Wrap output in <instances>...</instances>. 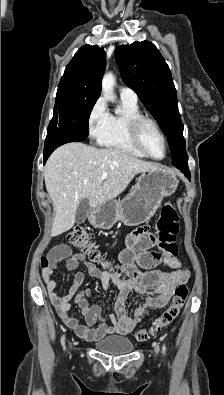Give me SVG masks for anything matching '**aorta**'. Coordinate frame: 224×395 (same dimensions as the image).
Wrapping results in <instances>:
<instances>
[{
    "instance_id": "1",
    "label": "aorta",
    "mask_w": 224,
    "mask_h": 395,
    "mask_svg": "<svg viewBox=\"0 0 224 395\" xmlns=\"http://www.w3.org/2000/svg\"><path fill=\"white\" fill-rule=\"evenodd\" d=\"M115 77L112 73H106L102 79V93L105 98L110 101H114L115 97L113 95L114 86H115Z\"/></svg>"
}]
</instances>
